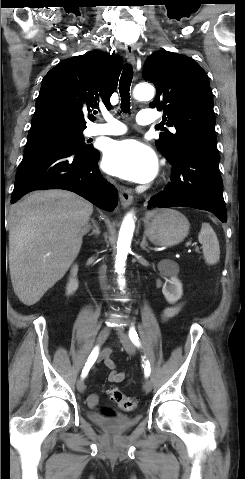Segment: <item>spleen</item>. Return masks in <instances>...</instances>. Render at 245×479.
I'll return each instance as SVG.
<instances>
[{
  "instance_id": "1",
  "label": "spleen",
  "mask_w": 245,
  "mask_h": 479,
  "mask_svg": "<svg viewBox=\"0 0 245 479\" xmlns=\"http://www.w3.org/2000/svg\"><path fill=\"white\" fill-rule=\"evenodd\" d=\"M198 241L202 244L205 262L209 265L218 263L220 259V246L216 233L209 223H202Z\"/></svg>"
}]
</instances>
